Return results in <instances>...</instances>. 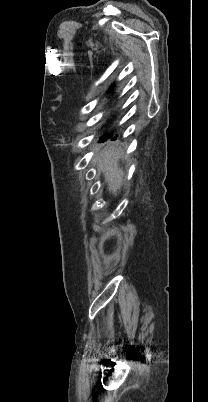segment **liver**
<instances>
[{
    "label": "liver",
    "instance_id": "liver-1",
    "mask_svg": "<svg viewBox=\"0 0 208 402\" xmlns=\"http://www.w3.org/2000/svg\"><path fill=\"white\" fill-rule=\"evenodd\" d=\"M101 158L98 162L100 170L105 172L108 190L111 194H117L123 184L122 168H118L119 150L118 148H110L104 150L100 154Z\"/></svg>",
    "mask_w": 208,
    "mask_h": 402
}]
</instances>
